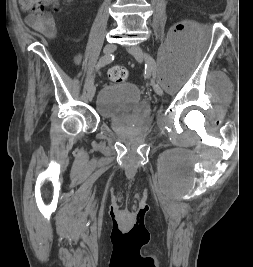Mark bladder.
Wrapping results in <instances>:
<instances>
[{
    "instance_id": "1",
    "label": "bladder",
    "mask_w": 253,
    "mask_h": 267,
    "mask_svg": "<svg viewBox=\"0 0 253 267\" xmlns=\"http://www.w3.org/2000/svg\"><path fill=\"white\" fill-rule=\"evenodd\" d=\"M138 87L132 83H112L105 85L97 97V107L101 111H115L140 101Z\"/></svg>"
}]
</instances>
